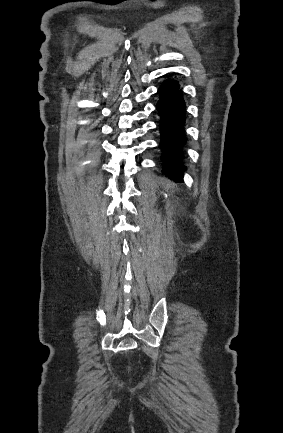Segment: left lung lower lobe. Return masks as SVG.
<instances>
[{"label":"left lung lower lobe","instance_id":"1","mask_svg":"<svg viewBox=\"0 0 283 433\" xmlns=\"http://www.w3.org/2000/svg\"><path fill=\"white\" fill-rule=\"evenodd\" d=\"M177 81L167 80L159 88L160 99L156 105L160 115L159 130L164 168L162 173L174 181L182 180L185 167L182 145L185 142V105Z\"/></svg>","mask_w":283,"mask_h":433}]
</instances>
